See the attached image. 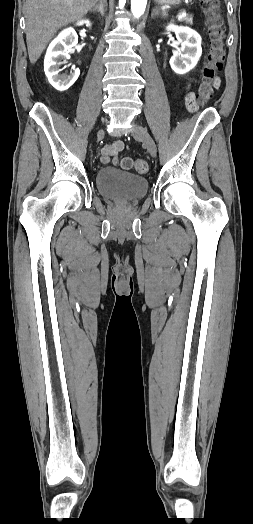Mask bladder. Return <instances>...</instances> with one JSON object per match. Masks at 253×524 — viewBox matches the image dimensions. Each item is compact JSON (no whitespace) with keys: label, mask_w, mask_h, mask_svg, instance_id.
Here are the masks:
<instances>
[{"label":"bladder","mask_w":253,"mask_h":524,"mask_svg":"<svg viewBox=\"0 0 253 524\" xmlns=\"http://www.w3.org/2000/svg\"><path fill=\"white\" fill-rule=\"evenodd\" d=\"M96 186L101 196L119 203H134L148 191L145 177L114 167H104L97 172Z\"/></svg>","instance_id":"bladder-1"}]
</instances>
